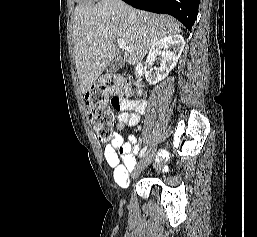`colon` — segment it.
<instances>
[{
  "label": "colon",
  "instance_id": "5ec220e1",
  "mask_svg": "<svg viewBox=\"0 0 257 237\" xmlns=\"http://www.w3.org/2000/svg\"><path fill=\"white\" fill-rule=\"evenodd\" d=\"M132 95L130 81L118 75L105 76L99 79L86 94V105L91 123L101 141L111 139L114 115L108 106L118 103Z\"/></svg>",
  "mask_w": 257,
  "mask_h": 237
}]
</instances>
